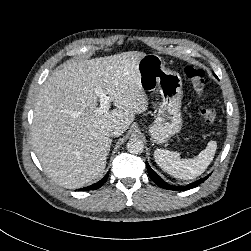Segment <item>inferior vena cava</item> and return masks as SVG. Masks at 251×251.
<instances>
[{
    "label": "inferior vena cava",
    "instance_id": "602c4592",
    "mask_svg": "<svg viewBox=\"0 0 251 251\" xmlns=\"http://www.w3.org/2000/svg\"><path fill=\"white\" fill-rule=\"evenodd\" d=\"M123 132L120 126H113L109 129L110 136H120Z\"/></svg>",
    "mask_w": 251,
    "mask_h": 251
}]
</instances>
